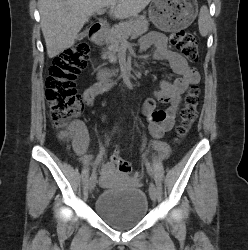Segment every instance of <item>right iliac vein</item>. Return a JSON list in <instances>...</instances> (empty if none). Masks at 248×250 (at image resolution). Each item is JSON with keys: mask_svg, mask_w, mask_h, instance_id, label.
Here are the masks:
<instances>
[{"mask_svg": "<svg viewBox=\"0 0 248 250\" xmlns=\"http://www.w3.org/2000/svg\"><path fill=\"white\" fill-rule=\"evenodd\" d=\"M96 183H97V177H96V174H94L91 176L90 181H89L90 192H92L95 189Z\"/></svg>", "mask_w": 248, "mask_h": 250, "instance_id": "1", "label": "right iliac vein"}]
</instances>
